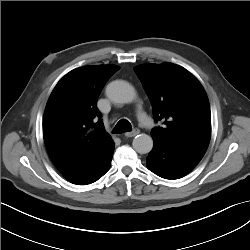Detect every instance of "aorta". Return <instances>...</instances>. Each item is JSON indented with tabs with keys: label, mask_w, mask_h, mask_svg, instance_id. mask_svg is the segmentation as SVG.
<instances>
[{
	"label": "aorta",
	"mask_w": 250,
	"mask_h": 250,
	"mask_svg": "<svg viewBox=\"0 0 250 250\" xmlns=\"http://www.w3.org/2000/svg\"><path fill=\"white\" fill-rule=\"evenodd\" d=\"M107 97L114 103L127 104L135 99L134 88L126 81L115 80L106 87ZM133 148L137 153L147 154L153 148V139L147 134L137 135L132 142Z\"/></svg>",
	"instance_id": "aorta-1"
}]
</instances>
